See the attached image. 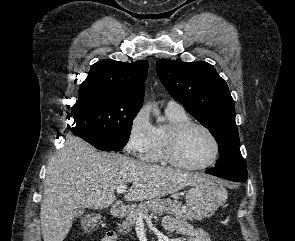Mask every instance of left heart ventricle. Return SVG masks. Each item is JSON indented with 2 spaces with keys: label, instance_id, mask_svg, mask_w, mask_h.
I'll return each mask as SVG.
<instances>
[{
  "label": "left heart ventricle",
  "instance_id": "1",
  "mask_svg": "<svg viewBox=\"0 0 295 241\" xmlns=\"http://www.w3.org/2000/svg\"><path fill=\"white\" fill-rule=\"evenodd\" d=\"M213 153L212 140L199 128H191L185 132L176 147L177 157L190 165H201L208 162Z\"/></svg>",
  "mask_w": 295,
  "mask_h": 241
}]
</instances>
